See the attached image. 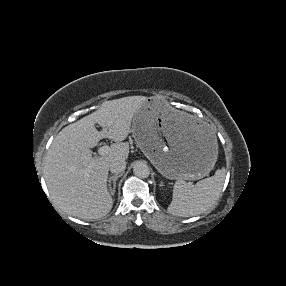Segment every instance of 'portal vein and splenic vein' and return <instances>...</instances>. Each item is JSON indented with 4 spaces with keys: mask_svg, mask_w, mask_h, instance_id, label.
<instances>
[{
    "mask_svg": "<svg viewBox=\"0 0 286 286\" xmlns=\"http://www.w3.org/2000/svg\"><path fill=\"white\" fill-rule=\"evenodd\" d=\"M110 151V147L108 145L101 146L98 150L100 155H106Z\"/></svg>",
    "mask_w": 286,
    "mask_h": 286,
    "instance_id": "portal-vein-and-splenic-vein-1",
    "label": "portal vein and splenic vein"
}]
</instances>
